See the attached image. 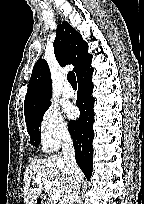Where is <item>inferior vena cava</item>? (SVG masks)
I'll return each instance as SVG.
<instances>
[{
	"instance_id": "inferior-vena-cava-1",
	"label": "inferior vena cava",
	"mask_w": 144,
	"mask_h": 204,
	"mask_svg": "<svg viewBox=\"0 0 144 204\" xmlns=\"http://www.w3.org/2000/svg\"><path fill=\"white\" fill-rule=\"evenodd\" d=\"M62 153L66 163V172L69 177V187L61 204H75L81 188L82 173L75 160V149L70 135L62 138Z\"/></svg>"
}]
</instances>
